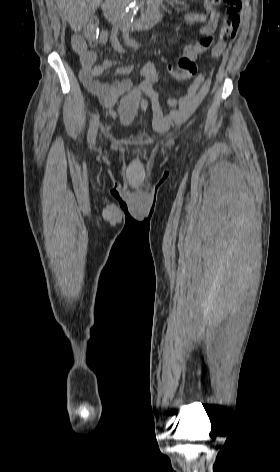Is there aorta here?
I'll list each match as a JSON object with an SVG mask.
<instances>
[{"mask_svg":"<svg viewBox=\"0 0 280 472\" xmlns=\"http://www.w3.org/2000/svg\"><path fill=\"white\" fill-rule=\"evenodd\" d=\"M141 3L132 2L125 10L123 15L120 18L119 24L122 28H128L133 21L134 16L136 15Z\"/></svg>","mask_w":280,"mask_h":472,"instance_id":"1","label":"aorta"}]
</instances>
